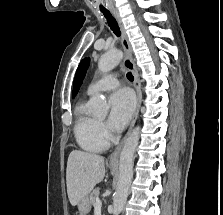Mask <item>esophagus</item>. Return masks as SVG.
Wrapping results in <instances>:
<instances>
[{"label":"esophagus","instance_id":"1","mask_svg":"<svg viewBox=\"0 0 223 215\" xmlns=\"http://www.w3.org/2000/svg\"><path fill=\"white\" fill-rule=\"evenodd\" d=\"M117 22L118 25L120 27V30L122 32V47L124 49V60H123V66L125 68H127L128 70H130V72H132V74L134 75L135 81H134V86L137 92V104H136V109L133 115V119L132 122L130 124L129 130L127 131L126 135L124 138H122L121 142L117 145V147L113 150V152L111 153L109 160H108V165L109 167H114L118 165V161H119V156H120V152L121 149L124 145V142L127 138V136L130 134L132 128L134 127V124L136 122L139 110H140V106H141V100H142V91H141V84H140V78L137 72V69L135 67V63L133 60V54H132V47L131 44L129 42L127 33H126V29L124 27V24L122 22V19L119 15V13L117 12V10L115 9H111Z\"/></svg>","mask_w":223,"mask_h":215}]
</instances>
